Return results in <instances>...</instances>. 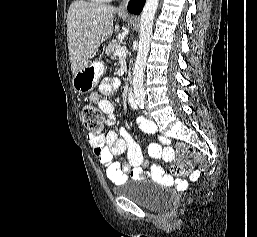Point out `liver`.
I'll return each mask as SVG.
<instances>
[{
    "instance_id": "liver-1",
    "label": "liver",
    "mask_w": 257,
    "mask_h": 237,
    "mask_svg": "<svg viewBox=\"0 0 257 237\" xmlns=\"http://www.w3.org/2000/svg\"><path fill=\"white\" fill-rule=\"evenodd\" d=\"M114 7L74 1L68 10L67 40L73 75L80 70L113 30Z\"/></svg>"
}]
</instances>
